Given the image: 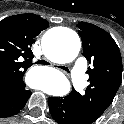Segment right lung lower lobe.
<instances>
[{"instance_id":"obj_1","label":"right lung lower lobe","mask_w":124,"mask_h":124,"mask_svg":"<svg viewBox=\"0 0 124 124\" xmlns=\"http://www.w3.org/2000/svg\"><path fill=\"white\" fill-rule=\"evenodd\" d=\"M31 91L25 88L0 94V118L17 114L25 106Z\"/></svg>"}]
</instances>
